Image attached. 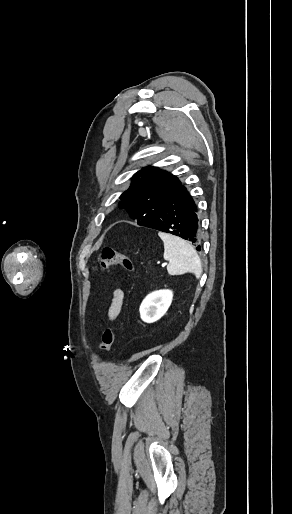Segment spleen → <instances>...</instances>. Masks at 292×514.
<instances>
[{
	"mask_svg": "<svg viewBox=\"0 0 292 514\" xmlns=\"http://www.w3.org/2000/svg\"><path fill=\"white\" fill-rule=\"evenodd\" d=\"M159 238H161L164 244V260H168L167 272L170 276H181V274H194L196 278H200L202 274V266L200 258L194 250L193 246H190L188 242L172 236V234H163L159 232Z\"/></svg>",
	"mask_w": 292,
	"mask_h": 514,
	"instance_id": "obj_1",
	"label": "spleen"
}]
</instances>
